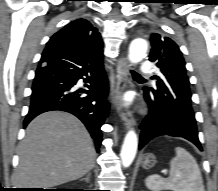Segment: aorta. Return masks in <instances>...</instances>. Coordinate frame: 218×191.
I'll list each match as a JSON object with an SVG mask.
<instances>
[{
	"mask_svg": "<svg viewBox=\"0 0 218 191\" xmlns=\"http://www.w3.org/2000/svg\"><path fill=\"white\" fill-rule=\"evenodd\" d=\"M148 44L144 39H134L129 46L128 59L130 63L140 62L147 53ZM138 147V138L134 130L128 131L125 136L122 149L121 160L124 167H129L133 162Z\"/></svg>",
	"mask_w": 218,
	"mask_h": 191,
	"instance_id": "aorta-1",
	"label": "aorta"
}]
</instances>
